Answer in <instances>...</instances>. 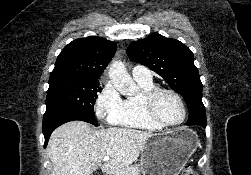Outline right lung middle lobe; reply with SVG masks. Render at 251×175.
<instances>
[{"mask_svg":"<svg viewBox=\"0 0 251 175\" xmlns=\"http://www.w3.org/2000/svg\"><path fill=\"white\" fill-rule=\"evenodd\" d=\"M99 85L49 79L46 112H81L95 117L94 107Z\"/></svg>","mask_w":251,"mask_h":175,"instance_id":"1","label":"right lung middle lobe"}]
</instances>
